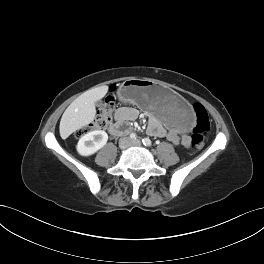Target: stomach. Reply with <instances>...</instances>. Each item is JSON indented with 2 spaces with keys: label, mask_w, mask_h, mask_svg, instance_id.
Listing matches in <instances>:
<instances>
[{
  "label": "stomach",
  "mask_w": 264,
  "mask_h": 264,
  "mask_svg": "<svg viewBox=\"0 0 264 264\" xmlns=\"http://www.w3.org/2000/svg\"><path fill=\"white\" fill-rule=\"evenodd\" d=\"M123 100L156 117L167 127L186 132L195 117L187 103L170 88L151 79L130 78L119 89Z\"/></svg>",
  "instance_id": "1"
}]
</instances>
